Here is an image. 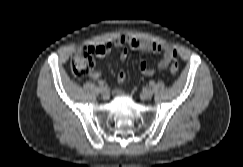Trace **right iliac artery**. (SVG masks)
<instances>
[{"label": "right iliac artery", "instance_id": "obj_1", "mask_svg": "<svg viewBox=\"0 0 243 167\" xmlns=\"http://www.w3.org/2000/svg\"><path fill=\"white\" fill-rule=\"evenodd\" d=\"M98 84H99V86H100V87H104L105 82H104V81H102V80H100V81L98 82Z\"/></svg>", "mask_w": 243, "mask_h": 167}]
</instances>
